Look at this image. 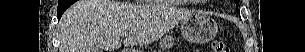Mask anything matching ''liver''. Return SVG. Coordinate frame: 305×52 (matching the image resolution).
<instances>
[{"label":"liver","instance_id":"1","mask_svg":"<svg viewBox=\"0 0 305 52\" xmlns=\"http://www.w3.org/2000/svg\"><path fill=\"white\" fill-rule=\"evenodd\" d=\"M191 14L164 2L132 5L114 0H79L61 18L59 50L112 52L121 47V37H125V46L148 45Z\"/></svg>","mask_w":305,"mask_h":52}]
</instances>
